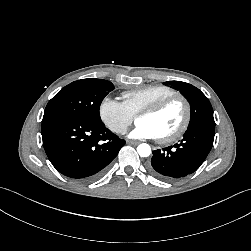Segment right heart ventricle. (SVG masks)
<instances>
[{"instance_id": "e07e8e85", "label": "right heart ventricle", "mask_w": 251, "mask_h": 251, "mask_svg": "<svg viewBox=\"0 0 251 251\" xmlns=\"http://www.w3.org/2000/svg\"><path fill=\"white\" fill-rule=\"evenodd\" d=\"M176 94V90L166 85H150L122 94L123 103L136 116L145 108Z\"/></svg>"}]
</instances>
